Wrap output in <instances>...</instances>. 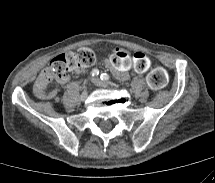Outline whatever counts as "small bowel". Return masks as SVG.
<instances>
[{"label":"small bowel","mask_w":215,"mask_h":183,"mask_svg":"<svg viewBox=\"0 0 215 183\" xmlns=\"http://www.w3.org/2000/svg\"><path fill=\"white\" fill-rule=\"evenodd\" d=\"M104 64L111 68L116 76L121 79L128 78V75L141 77L149 69V60L145 54L136 50L127 52L123 48H116L112 55L104 61ZM45 70L37 76L33 84V93L38 99L50 100L57 96L58 91L56 89H47L52 79L44 80ZM56 80L59 84H66L69 82L70 76L66 75Z\"/></svg>","instance_id":"c3829d8e"}]
</instances>
